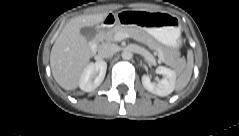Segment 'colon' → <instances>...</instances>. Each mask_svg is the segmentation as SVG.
<instances>
[{
  "label": "colon",
  "instance_id": "1",
  "mask_svg": "<svg viewBox=\"0 0 239 136\" xmlns=\"http://www.w3.org/2000/svg\"><path fill=\"white\" fill-rule=\"evenodd\" d=\"M115 16H117V17H118V19H119V15H115Z\"/></svg>",
  "mask_w": 239,
  "mask_h": 136
}]
</instances>
